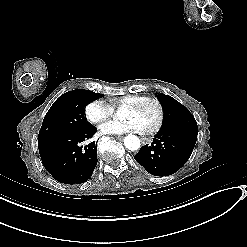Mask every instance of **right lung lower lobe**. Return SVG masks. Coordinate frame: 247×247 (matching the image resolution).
I'll return each instance as SVG.
<instances>
[{"mask_svg":"<svg viewBox=\"0 0 247 247\" xmlns=\"http://www.w3.org/2000/svg\"><path fill=\"white\" fill-rule=\"evenodd\" d=\"M96 128L77 132H61L38 138V149L45 169L58 182L66 184L84 183L97 165V146L91 142L80 146L91 138Z\"/></svg>","mask_w":247,"mask_h":247,"instance_id":"1","label":"right lung lower lobe"}]
</instances>
